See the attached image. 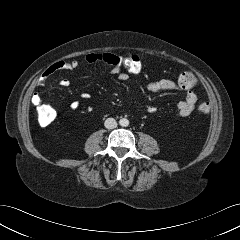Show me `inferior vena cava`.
Masks as SVG:
<instances>
[{
  "instance_id": "1",
  "label": "inferior vena cava",
  "mask_w": 240,
  "mask_h": 240,
  "mask_svg": "<svg viewBox=\"0 0 240 240\" xmlns=\"http://www.w3.org/2000/svg\"><path fill=\"white\" fill-rule=\"evenodd\" d=\"M104 125L107 129H114L117 127V122L114 118H108L105 120Z\"/></svg>"
}]
</instances>
